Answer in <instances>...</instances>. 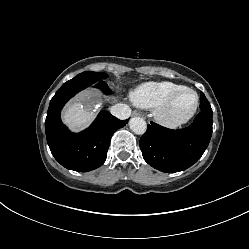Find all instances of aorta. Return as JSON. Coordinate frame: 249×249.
Instances as JSON below:
<instances>
[{
	"label": "aorta",
	"mask_w": 249,
	"mask_h": 249,
	"mask_svg": "<svg viewBox=\"0 0 249 249\" xmlns=\"http://www.w3.org/2000/svg\"><path fill=\"white\" fill-rule=\"evenodd\" d=\"M130 129L138 135H142L146 132L147 124L146 121L140 117L131 118L129 121Z\"/></svg>",
	"instance_id": "aorta-1"
}]
</instances>
